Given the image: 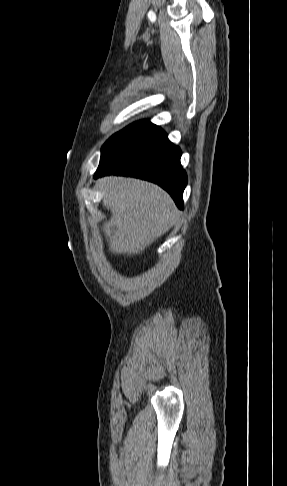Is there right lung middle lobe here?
Masks as SVG:
<instances>
[{
	"label": "right lung middle lobe",
	"instance_id": "right-lung-middle-lobe-1",
	"mask_svg": "<svg viewBox=\"0 0 287 486\" xmlns=\"http://www.w3.org/2000/svg\"><path fill=\"white\" fill-rule=\"evenodd\" d=\"M155 127L157 126L152 124L149 120H142L132 123L123 130L117 132L103 145L101 149V160L139 139Z\"/></svg>",
	"mask_w": 287,
	"mask_h": 486
}]
</instances>
